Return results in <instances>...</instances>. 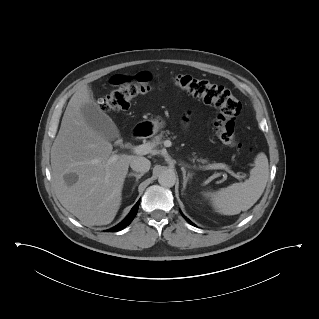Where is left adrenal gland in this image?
Returning <instances> with one entry per match:
<instances>
[{
	"label": "left adrenal gland",
	"mask_w": 319,
	"mask_h": 319,
	"mask_svg": "<svg viewBox=\"0 0 319 319\" xmlns=\"http://www.w3.org/2000/svg\"><path fill=\"white\" fill-rule=\"evenodd\" d=\"M181 170H182V173H183V190H185L186 184H187L188 180H189L190 178H192V175H193V174L190 173V172H188V173L186 174V170H185L184 167H181Z\"/></svg>",
	"instance_id": "a2214340"
}]
</instances>
